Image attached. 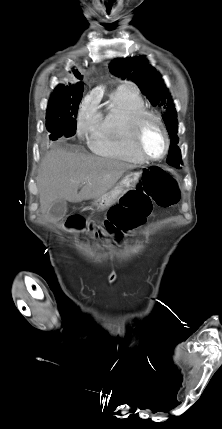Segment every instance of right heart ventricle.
Instances as JSON below:
<instances>
[{
	"mask_svg": "<svg viewBox=\"0 0 222 429\" xmlns=\"http://www.w3.org/2000/svg\"><path fill=\"white\" fill-rule=\"evenodd\" d=\"M145 109L139 92L121 86L111 96L104 117L91 135L90 148L98 155L141 164L146 160L132 143V121L137 112Z\"/></svg>",
	"mask_w": 222,
	"mask_h": 429,
	"instance_id": "e07e8e85",
	"label": "right heart ventricle"
}]
</instances>
